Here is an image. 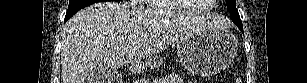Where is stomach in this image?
I'll return each mask as SVG.
<instances>
[{"label":"stomach","instance_id":"0dacf381","mask_svg":"<svg viewBox=\"0 0 307 83\" xmlns=\"http://www.w3.org/2000/svg\"><path fill=\"white\" fill-rule=\"evenodd\" d=\"M237 41L232 33L210 30L183 37L177 42L181 64L192 74L212 76L223 70L237 53ZM160 58H151L146 66L156 67Z\"/></svg>","mask_w":307,"mask_h":83}]
</instances>
